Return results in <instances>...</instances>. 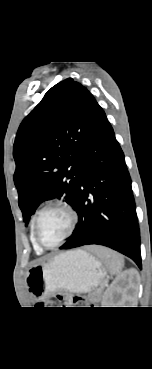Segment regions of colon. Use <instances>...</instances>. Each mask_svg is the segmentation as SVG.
<instances>
[{
    "label": "colon",
    "mask_w": 152,
    "mask_h": 369,
    "mask_svg": "<svg viewBox=\"0 0 152 369\" xmlns=\"http://www.w3.org/2000/svg\"><path fill=\"white\" fill-rule=\"evenodd\" d=\"M84 298L81 296L69 297L65 294H57L52 300L47 302H42L40 305L42 307H69V306H81L83 304Z\"/></svg>",
    "instance_id": "obj_1"
}]
</instances>
